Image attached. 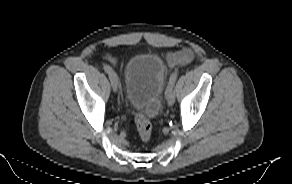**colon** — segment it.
I'll use <instances>...</instances> for the list:
<instances>
[{"label": "colon", "mask_w": 292, "mask_h": 184, "mask_svg": "<svg viewBox=\"0 0 292 184\" xmlns=\"http://www.w3.org/2000/svg\"><path fill=\"white\" fill-rule=\"evenodd\" d=\"M135 123L139 137L142 141L146 142L152 135V124L145 114L139 110L135 111Z\"/></svg>", "instance_id": "obj_1"}]
</instances>
